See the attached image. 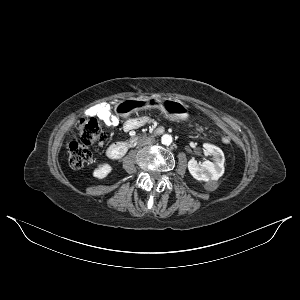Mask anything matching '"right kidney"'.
I'll list each match as a JSON object with an SVG mask.
<instances>
[{
    "label": "right kidney",
    "mask_w": 300,
    "mask_h": 300,
    "mask_svg": "<svg viewBox=\"0 0 300 300\" xmlns=\"http://www.w3.org/2000/svg\"><path fill=\"white\" fill-rule=\"evenodd\" d=\"M112 170L111 165L108 163L100 164L93 172V176L98 179L105 178Z\"/></svg>",
    "instance_id": "ca27d5eb"
}]
</instances>
